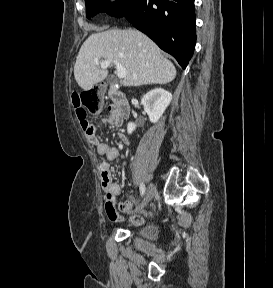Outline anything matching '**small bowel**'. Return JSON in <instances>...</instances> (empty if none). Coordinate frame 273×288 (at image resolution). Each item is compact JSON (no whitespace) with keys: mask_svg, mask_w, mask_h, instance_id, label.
I'll list each match as a JSON object with an SVG mask.
<instances>
[{"mask_svg":"<svg viewBox=\"0 0 273 288\" xmlns=\"http://www.w3.org/2000/svg\"><path fill=\"white\" fill-rule=\"evenodd\" d=\"M122 122L123 121L117 117L115 110L112 107L109 108L108 113L102 119V123L114 126L116 128L121 126ZM97 130L98 127L96 125H90L88 129L84 130V133L87 139L96 146L98 154L103 158L102 162L100 163V181L102 190L105 194L104 207L106 215L110 221L120 222L122 221V217L120 216L118 210L122 212H129L132 209L135 200L131 199L121 202L117 200V197L121 193V186L113 180L110 162L119 157L120 150L117 147L100 142L96 135ZM121 138L125 140V136L121 135ZM131 222L133 224H139L141 222V217L134 216L131 218Z\"/></svg>","mask_w":273,"mask_h":288,"instance_id":"obj_1","label":"small bowel"}]
</instances>
